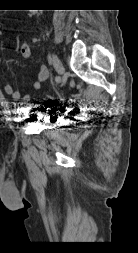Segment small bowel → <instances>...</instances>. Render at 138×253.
I'll return each instance as SVG.
<instances>
[{
	"mask_svg": "<svg viewBox=\"0 0 138 253\" xmlns=\"http://www.w3.org/2000/svg\"><path fill=\"white\" fill-rule=\"evenodd\" d=\"M21 56L25 60H29L31 58V50L28 45H23L20 50ZM2 63V59L0 57V65ZM49 76V70L46 66H40L37 71L36 79L32 83V91L36 92L41 88L42 82H44ZM4 91L6 94L11 96L14 101H22L23 103H27L30 101L32 97V93H27L22 95L20 91L16 90L11 83H6L4 85Z\"/></svg>",
	"mask_w": 138,
	"mask_h": 253,
	"instance_id": "small-bowel-1",
	"label": "small bowel"
}]
</instances>
